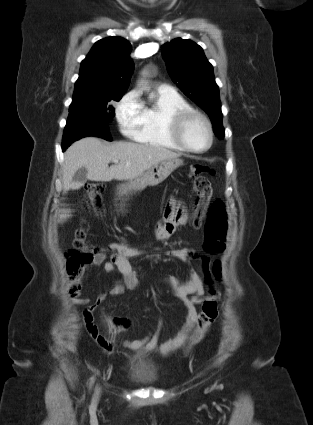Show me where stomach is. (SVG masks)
I'll return each mask as SVG.
<instances>
[{
  "label": "stomach",
  "instance_id": "obj_1",
  "mask_svg": "<svg viewBox=\"0 0 313 425\" xmlns=\"http://www.w3.org/2000/svg\"><path fill=\"white\" fill-rule=\"evenodd\" d=\"M183 161L178 158L163 160L152 166L147 172L129 179L128 182L119 186L121 195L131 192L142 191L147 186H156L162 183Z\"/></svg>",
  "mask_w": 313,
  "mask_h": 425
}]
</instances>
